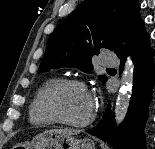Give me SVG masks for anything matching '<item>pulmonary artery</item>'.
<instances>
[{
  "mask_svg": "<svg viewBox=\"0 0 155 149\" xmlns=\"http://www.w3.org/2000/svg\"><path fill=\"white\" fill-rule=\"evenodd\" d=\"M101 62L106 66H115L119 64V59L115 53L105 52L102 54Z\"/></svg>",
  "mask_w": 155,
  "mask_h": 149,
  "instance_id": "obj_1",
  "label": "pulmonary artery"
}]
</instances>
